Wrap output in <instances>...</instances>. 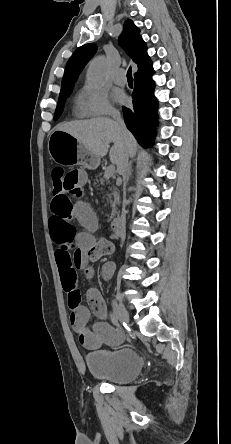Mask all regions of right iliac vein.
Instances as JSON below:
<instances>
[{"label":"right iliac vein","mask_w":231,"mask_h":444,"mask_svg":"<svg viewBox=\"0 0 231 444\" xmlns=\"http://www.w3.org/2000/svg\"><path fill=\"white\" fill-rule=\"evenodd\" d=\"M118 314H119V320L122 323H126V324L129 323L128 312L122 303H119V305H118Z\"/></svg>","instance_id":"right-iliac-vein-1"}]
</instances>
